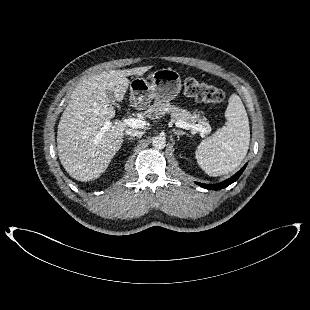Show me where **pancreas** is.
I'll return each instance as SVG.
<instances>
[{
  "instance_id": "cf45deb5",
  "label": "pancreas",
  "mask_w": 310,
  "mask_h": 310,
  "mask_svg": "<svg viewBox=\"0 0 310 310\" xmlns=\"http://www.w3.org/2000/svg\"><path fill=\"white\" fill-rule=\"evenodd\" d=\"M166 113L171 114V121H183L191 124H195L196 122L205 127L207 132H210V125L205 117L200 118V112L190 113L186 109H181L170 103L163 102H155L152 106H149L148 109L143 113V115L151 120L159 119L164 116Z\"/></svg>"
}]
</instances>
